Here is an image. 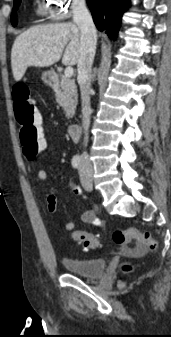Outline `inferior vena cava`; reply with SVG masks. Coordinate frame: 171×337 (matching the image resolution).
Wrapping results in <instances>:
<instances>
[{
    "label": "inferior vena cava",
    "mask_w": 171,
    "mask_h": 337,
    "mask_svg": "<svg viewBox=\"0 0 171 337\" xmlns=\"http://www.w3.org/2000/svg\"><path fill=\"white\" fill-rule=\"evenodd\" d=\"M73 21L81 33V55L78 61V83L80 85L82 100V126L84 129V145L88 142V129L90 125V86L92 78V64L95 56L97 35L91 14L89 13L85 0H78L73 8ZM82 159L88 161L87 152H83Z\"/></svg>",
    "instance_id": "inferior-vena-cava-1"
}]
</instances>
